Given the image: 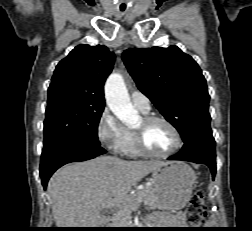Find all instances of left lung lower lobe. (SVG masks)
<instances>
[{"instance_id": "obj_1", "label": "left lung lower lobe", "mask_w": 252, "mask_h": 231, "mask_svg": "<svg viewBox=\"0 0 252 231\" xmlns=\"http://www.w3.org/2000/svg\"><path fill=\"white\" fill-rule=\"evenodd\" d=\"M215 141L212 134L195 135L184 142V146L169 160H184L207 165L214 179L216 173Z\"/></svg>"}]
</instances>
